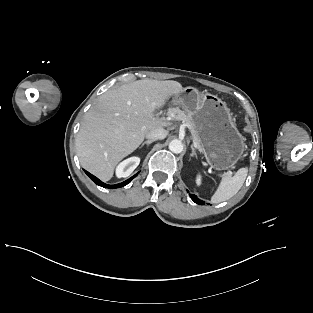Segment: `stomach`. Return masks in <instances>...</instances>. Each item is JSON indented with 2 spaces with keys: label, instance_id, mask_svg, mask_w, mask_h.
<instances>
[{
  "label": "stomach",
  "instance_id": "1",
  "mask_svg": "<svg viewBox=\"0 0 313 313\" xmlns=\"http://www.w3.org/2000/svg\"><path fill=\"white\" fill-rule=\"evenodd\" d=\"M179 108L192 118L210 167L221 171L234 166L245 150V140L226 103L213 94L186 87L174 95L169 112Z\"/></svg>",
  "mask_w": 313,
  "mask_h": 313
}]
</instances>
